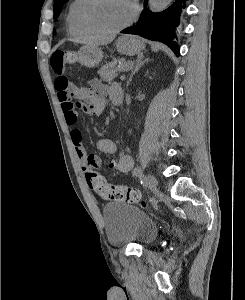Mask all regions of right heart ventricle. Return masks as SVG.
I'll return each instance as SVG.
<instances>
[{"instance_id": "1", "label": "right heart ventricle", "mask_w": 245, "mask_h": 300, "mask_svg": "<svg viewBox=\"0 0 245 300\" xmlns=\"http://www.w3.org/2000/svg\"><path fill=\"white\" fill-rule=\"evenodd\" d=\"M85 0H72L68 7L66 24L68 31L74 35H88V32L81 24L79 19L80 10Z\"/></svg>"}]
</instances>
